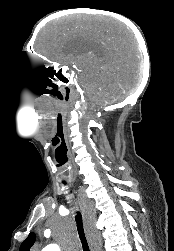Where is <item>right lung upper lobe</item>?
Listing matches in <instances>:
<instances>
[{
	"mask_svg": "<svg viewBox=\"0 0 174 251\" xmlns=\"http://www.w3.org/2000/svg\"><path fill=\"white\" fill-rule=\"evenodd\" d=\"M34 242H35V234L30 233L27 239L22 243L20 251H29Z\"/></svg>",
	"mask_w": 174,
	"mask_h": 251,
	"instance_id": "obj_1",
	"label": "right lung upper lobe"
}]
</instances>
